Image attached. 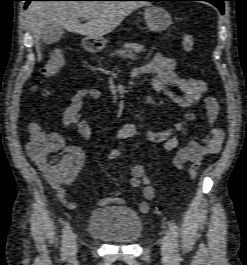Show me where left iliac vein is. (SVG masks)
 <instances>
[{"label": "left iliac vein", "instance_id": "obj_1", "mask_svg": "<svg viewBox=\"0 0 247 265\" xmlns=\"http://www.w3.org/2000/svg\"><path fill=\"white\" fill-rule=\"evenodd\" d=\"M171 243H172L171 233L169 231H166L164 233V237L161 243V253L164 258H170L172 255Z\"/></svg>", "mask_w": 247, "mask_h": 265}]
</instances>
